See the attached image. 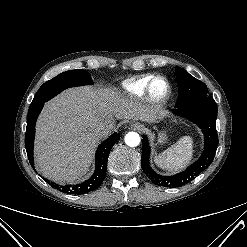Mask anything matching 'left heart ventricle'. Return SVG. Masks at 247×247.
<instances>
[{"instance_id": "left-heart-ventricle-1", "label": "left heart ventricle", "mask_w": 247, "mask_h": 247, "mask_svg": "<svg viewBox=\"0 0 247 247\" xmlns=\"http://www.w3.org/2000/svg\"><path fill=\"white\" fill-rule=\"evenodd\" d=\"M165 89H166V86L162 81H158L154 86V90L156 93H163Z\"/></svg>"}]
</instances>
